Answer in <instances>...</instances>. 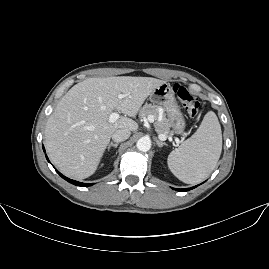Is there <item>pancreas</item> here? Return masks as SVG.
<instances>
[{
  "label": "pancreas",
  "mask_w": 269,
  "mask_h": 269,
  "mask_svg": "<svg viewBox=\"0 0 269 269\" xmlns=\"http://www.w3.org/2000/svg\"><path fill=\"white\" fill-rule=\"evenodd\" d=\"M148 115H153L155 122L154 127L158 134L171 135L173 131L170 130L171 124L170 121L166 118L165 113H163L162 120L158 121L159 117V106L152 104H145L139 112V117H147Z\"/></svg>",
  "instance_id": "obj_1"
}]
</instances>
